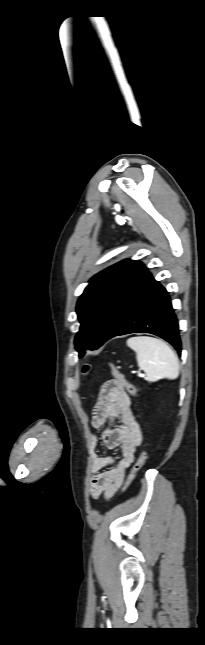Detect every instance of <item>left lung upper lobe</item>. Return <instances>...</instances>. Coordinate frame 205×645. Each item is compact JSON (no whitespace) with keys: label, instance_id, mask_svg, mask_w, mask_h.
<instances>
[{"label":"left lung upper lobe","instance_id":"obj_1","mask_svg":"<svg viewBox=\"0 0 205 645\" xmlns=\"http://www.w3.org/2000/svg\"><path fill=\"white\" fill-rule=\"evenodd\" d=\"M138 261L126 259L95 275L77 302L81 323L75 337L80 356L85 350L98 349L108 332L112 309L122 286Z\"/></svg>","mask_w":205,"mask_h":645}]
</instances>
